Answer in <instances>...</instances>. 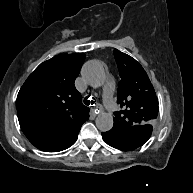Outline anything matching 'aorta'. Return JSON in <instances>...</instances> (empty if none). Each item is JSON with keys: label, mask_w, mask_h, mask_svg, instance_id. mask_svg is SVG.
Returning a JSON list of instances; mask_svg holds the SVG:
<instances>
[{"label": "aorta", "mask_w": 193, "mask_h": 193, "mask_svg": "<svg viewBox=\"0 0 193 193\" xmlns=\"http://www.w3.org/2000/svg\"><path fill=\"white\" fill-rule=\"evenodd\" d=\"M82 76L91 87L97 88L104 82L105 71L100 62L92 60L85 63L83 66ZM95 124L100 131H109L114 124L112 114L107 112L100 113L96 117Z\"/></svg>", "instance_id": "obj_1"}]
</instances>
